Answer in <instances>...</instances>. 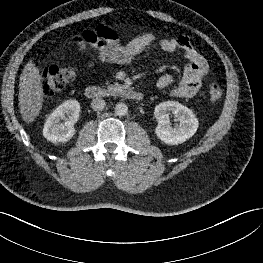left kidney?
<instances>
[{"label":"left kidney","instance_id":"1","mask_svg":"<svg viewBox=\"0 0 263 263\" xmlns=\"http://www.w3.org/2000/svg\"><path fill=\"white\" fill-rule=\"evenodd\" d=\"M169 112L178 118L180 124L173 128L169 121ZM154 116L158 120L155 133L157 137L168 145H178L191 138L198 129L199 122L195 114L188 107L175 101H167L155 107Z\"/></svg>","mask_w":263,"mask_h":263}]
</instances>
